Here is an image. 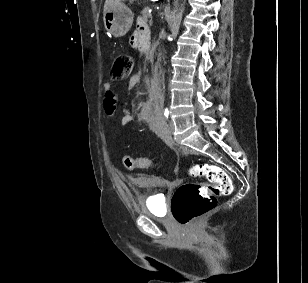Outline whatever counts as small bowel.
Returning <instances> with one entry per match:
<instances>
[{
	"label": "small bowel",
	"mask_w": 308,
	"mask_h": 283,
	"mask_svg": "<svg viewBox=\"0 0 308 283\" xmlns=\"http://www.w3.org/2000/svg\"><path fill=\"white\" fill-rule=\"evenodd\" d=\"M143 31H148L146 23L143 19L137 20V29L131 37V44L134 47H139V36ZM140 76L134 75L130 79V84L135 85L139 82ZM104 88V111L108 117H113L116 111L118 97L113 89V85L110 82H106L103 86ZM138 116L141 119H145L148 114V105L146 103H141L137 107ZM132 121V116L128 109H124V114L121 119V124L123 126L129 124Z\"/></svg>",
	"instance_id": "1"
}]
</instances>
